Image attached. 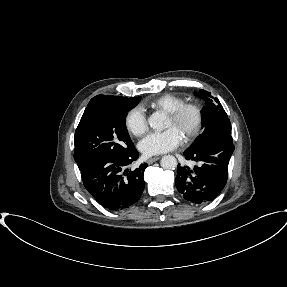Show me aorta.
I'll use <instances>...</instances> for the list:
<instances>
[{"label": "aorta", "mask_w": 287, "mask_h": 287, "mask_svg": "<svg viewBox=\"0 0 287 287\" xmlns=\"http://www.w3.org/2000/svg\"><path fill=\"white\" fill-rule=\"evenodd\" d=\"M149 126L155 130L163 128V119L158 113H154L148 119ZM161 167L166 170H174L177 167V159L172 155H165L161 159Z\"/></svg>", "instance_id": "1"}]
</instances>
